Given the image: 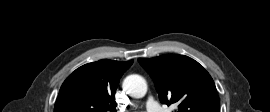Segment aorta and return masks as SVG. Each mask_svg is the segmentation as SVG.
Here are the masks:
<instances>
[{
    "label": "aorta",
    "instance_id": "aorta-1",
    "mask_svg": "<svg viewBox=\"0 0 270 112\" xmlns=\"http://www.w3.org/2000/svg\"><path fill=\"white\" fill-rule=\"evenodd\" d=\"M123 88L131 97L141 98L147 92V83L139 75H129L124 79Z\"/></svg>",
    "mask_w": 270,
    "mask_h": 112
}]
</instances>
